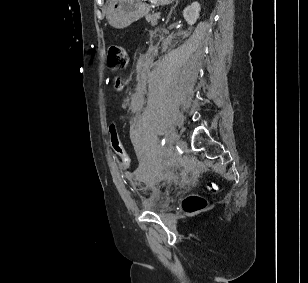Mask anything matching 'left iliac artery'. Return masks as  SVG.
Here are the masks:
<instances>
[{"mask_svg": "<svg viewBox=\"0 0 308 283\" xmlns=\"http://www.w3.org/2000/svg\"><path fill=\"white\" fill-rule=\"evenodd\" d=\"M166 142V137L162 140V146L165 144ZM179 150V149H178ZM180 151V150H179Z\"/></svg>", "mask_w": 308, "mask_h": 283, "instance_id": "left-iliac-artery-1", "label": "left iliac artery"}]
</instances>
